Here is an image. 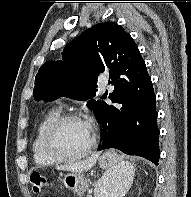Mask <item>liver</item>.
Wrapping results in <instances>:
<instances>
[{"instance_id":"6515ba94","label":"liver","mask_w":191,"mask_h":197,"mask_svg":"<svg viewBox=\"0 0 191 197\" xmlns=\"http://www.w3.org/2000/svg\"><path fill=\"white\" fill-rule=\"evenodd\" d=\"M98 157H99V153H95L84 161L74 162L68 165L57 166L56 169L82 173L83 171L92 168L95 165Z\"/></svg>"}]
</instances>
